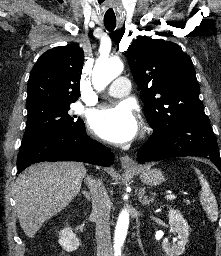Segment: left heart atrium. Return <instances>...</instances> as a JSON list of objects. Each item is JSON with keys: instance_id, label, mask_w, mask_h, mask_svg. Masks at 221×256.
Instances as JSON below:
<instances>
[{"instance_id": "obj_1", "label": "left heart atrium", "mask_w": 221, "mask_h": 256, "mask_svg": "<svg viewBox=\"0 0 221 256\" xmlns=\"http://www.w3.org/2000/svg\"><path fill=\"white\" fill-rule=\"evenodd\" d=\"M89 125L96 135L117 144L131 141L139 130L137 116L127 102L93 111L89 117Z\"/></svg>"}]
</instances>
